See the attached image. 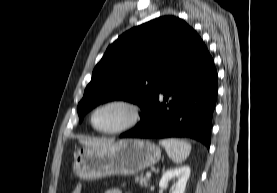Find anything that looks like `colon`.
<instances>
[{
  "label": "colon",
  "mask_w": 277,
  "mask_h": 193,
  "mask_svg": "<svg viewBox=\"0 0 277 193\" xmlns=\"http://www.w3.org/2000/svg\"><path fill=\"white\" fill-rule=\"evenodd\" d=\"M71 193H82L81 184H78Z\"/></svg>",
  "instance_id": "5ec220e1"
}]
</instances>
